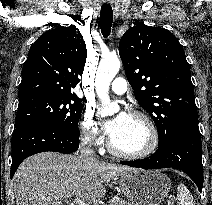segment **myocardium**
I'll return each mask as SVG.
<instances>
[{
	"label": "myocardium",
	"mask_w": 212,
	"mask_h": 205,
	"mask_svg": "<svg viewBox=\"0 0 212 205\" xmlns=\"http://www.w3.org/2000/svg\"><path fill=\"white\" fill-rule=\"evenodd\" d=\"M129 116H131L133 118H137L145 124V126L147 128V132H148L147 144L145 145V147L143 149H141L139 151L124 152V151L117 149L114 146V144L110 138L107 143L108 150L111 154H113L117 157H120V158H124V159L138 160V159L146 158V157L152 155L158 148L159 134H158L157 127H156L154 121L151 119V117L144 112L133 111L129 114Z\"/></svg>",
	"instance_id": "obj_1"
}]
</instances>
